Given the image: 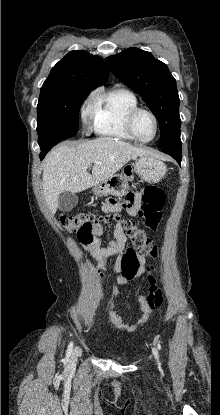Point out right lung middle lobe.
<instances>
[{
	"mask_svg": "<svg viewBox=\"0 0 220 415\" xmlns=\"http://www.w3.org/2000/svg\"><path fill=\"white\" fill-rule=\"evenodd\" d=\"M90 91L42 87L37 106V133L41 149L73 137L78 130L79 109Z\"/></svg>",
	"mask_w": 220,
	"mask_h": 415,
	"instance_id": "obj_1",
	"label": "right lung middle lobe"
}]
</instances>
